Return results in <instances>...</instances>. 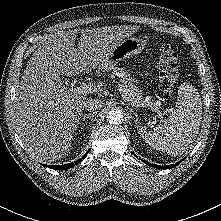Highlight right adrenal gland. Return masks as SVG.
<instances>
[{"label":"right adrenal gland","mask_w":221,"mask_h":221,"mask_svg":"<svg viewBox=\"0 0 221 221\" xmlns=\"http://www.w3.org/2000/svg\"><path fill=\"white\" fill-rule=\"evenodd\" d=\"M95 114H96V112L83 114L82 119H83V121H85L86 119L90 118L91 121H93V117L95 116Z\"/></svg>","instance_id":"2a0ac1e0"}]
</instances>
